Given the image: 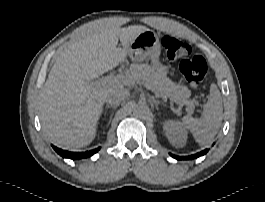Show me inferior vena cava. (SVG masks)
Returning <instances> with one entry per match:
<instances>
[{
    "label": "inferior vena cava",
    "instance_id": "inferior-vena-cava-1",
    "mask_svg": "<svg viewBox=\"0 0 265 202\" xmlns=\"http://www.w3.org/2000/svg\"><path fill=\"white\" fill-rule=\"evenodd\" d=\"M129 92L123 88H114L108 91L105 97V103L111 106H118L122 101L128 98Z\"/></svg>",
    "mask_w": 265,
    "mask_h": 202
}]
</instances>
